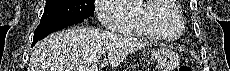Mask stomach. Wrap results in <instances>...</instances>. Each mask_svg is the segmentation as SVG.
Returning <instances> with one entry per match:
<instances>
[{
    "label": "stomach",
    "instance_id": "1",
    "mask_svg": "<svg viewBox=\"0 0 230 71\" xmlns=\"http://www.w3.org/2000/svg\"><path fill=\"white\" fill-rule=\"evenodd\" d=\"M153 59L158 64L160 71H173L179 65L178 54L168 48L154 52Z\"/></svg>",
    "mask_w": 230,
    "mask_h": 71
}]
</instances>
